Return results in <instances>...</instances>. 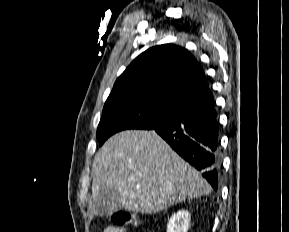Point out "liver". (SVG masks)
<instances>
[{"mask_svg":"<svg viewBox=\"0 0 289 232\" xmlns=\"http://www.w3.org/2000/svg\"><path fill=\"white\" fill-rule=\"evenodd\" d=\"M92 175L93 199L117 191L122 207L136 213H157L211 192L201 174L155 131L113 135L96 153Z\"/></svg>","mask_w":289,"mask_h":232,"instance_id":"1","label":"liver"}]
</instances>
